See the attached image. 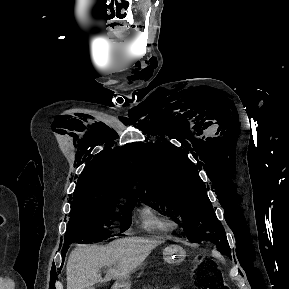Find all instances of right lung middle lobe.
<instances>
[{"mask_svg":"<svg viewBox=\"0 0 289 289\" xmlns=\"http://www.w3.org/2000/svg\"><path fill=\"white\" fill-rule=\"evenodd\" d=\"M137 200L86 198L73 200L63 248L71 242H94L113 235L107 231L111 220H119L121 232L131 224V209Z\"/></svg>","mask_w":289,"mask_h":289,"instance_id":"1","label":"right lung middle lobe"}]
</instances>
